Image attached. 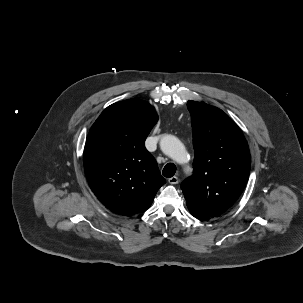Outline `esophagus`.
<instances>
[{
  "label": "esophagus",
  "mask_w": 303,
  "mask_h": 303,
  "mask_svg": "<svg viewBox=\"0 0 303 303\" xmlns=\"http://www.w3.org/2000/svg\"><path fill=\"white\" fill-rule=\"evenodd\" d=\"M168 182L170 184H178L179 180H178L177 176H173V177H171V178L168 179Z\"/></svg>",
  "instance_id": "1"
}]
</instances>
